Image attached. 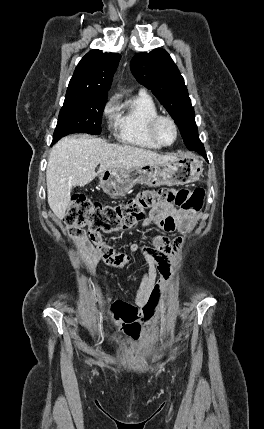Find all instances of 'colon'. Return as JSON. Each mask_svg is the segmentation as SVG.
I'll list each match as a JSON object with an SVG mask.
<instances>
[{
  "instance_id": "1",
  "label": "colon",
  "mask_w": 264,
  "mask_h": 429,
  "mask_svg": "<svg viewBox=\"0 0 264 429\" xmlns=\"http://www.w3.org/2000/svg\"><path fill=\"white\" fill-rule=\"evenodd\" d=\"M205 192L202 188L174 189L160 188L146 190L125 203L107 205L91 200L83 194L72 197L65 223L71 233L86 232L91 238L102 233L132 229L142 221L148 210L159 205L174 203L188 215H196L202 208ZM113 320L123 328L134 320L129 305L113 304L110 307Z\"/></svg>"
}]
</instances>
